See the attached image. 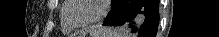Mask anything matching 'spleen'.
Listing matches in <instances>:
<instances>
[{"mask_svg": "<svg viewBox=\"0 0 219 37\" xmlns=\"http://www.w3.org/2000/svg\"><path fill=\"white\" fill-rule=\"evenodd\" d=\"M108 37H128V32L125 27L109 29Z\"/></svg>", "mask_w": 219, "mask_h": 37, "instance_id": "1", "label": "spleen"}]
</instances>
